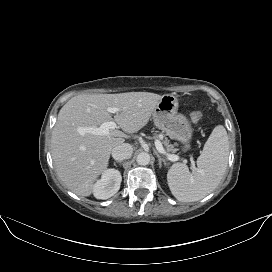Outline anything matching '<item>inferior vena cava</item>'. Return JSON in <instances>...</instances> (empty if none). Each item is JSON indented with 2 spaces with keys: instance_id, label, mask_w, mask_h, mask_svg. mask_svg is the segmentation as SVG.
<instances>
[{
  "instance_id": "obj_1",
  "label": "inferior vena cava",
  "mask_w": 272,
  "mask_h": 272,
  "mask_svg": "<svg viewBox=\"0 0 272 272\" xmlns=\"http://www.w3.org/2000/svg\"><path fill=\"white\" fill-rule=\"evenodd\" d=\"M132 153H133V148L128 143H122V144L114 147L111 152L112 157L117 161H121V160L130 158Z\"/></svg>"
}]
</instances>
